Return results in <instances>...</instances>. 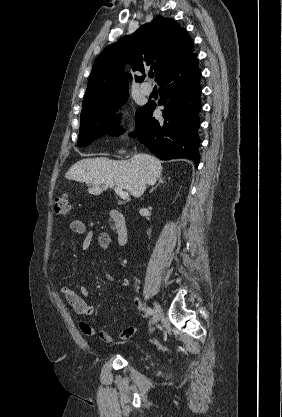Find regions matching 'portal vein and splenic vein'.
I'll use <instances>...</instances> for the list:
<instances>
[{
  "mask_svg": "<svg viewBox=\"0 0 282 417\" xmlns=\"http://www.w3.org/2000/svg\"><path fill=\"white\" fill-rule=\"evenodd\" d=\"M114 190L115 192H117V194H119V196H121V198H123V200H127V198H129V192H126V190H122L120 186H115Z\"/></svg>",
  "mask_w": 282,
  "mask_h": 417,
  "instance_id": "1",
  "label": "portal vein and splenic vein"
}]
</instances>
